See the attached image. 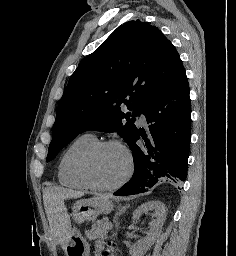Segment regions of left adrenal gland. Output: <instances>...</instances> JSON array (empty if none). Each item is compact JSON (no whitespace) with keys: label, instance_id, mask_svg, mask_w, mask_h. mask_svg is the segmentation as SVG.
I'll list each match as a JSON object with an SVG mask.
<instances>
[{"label":"left adrenal gland","instance_id":"left-adrenal-gland-1","mask_svg":"<svg viewBox=\"0 0 236 256\" xmlns=\"http://www.w3.org/2000/svg\"><path fill=\"white\" fill-rule=\"evenodd\" d=\"M126 208H123V206H121V204H119V212H117V214H115L114 218H113V222L114 224H116V220L118 218V216H121V214H124Z\"/></svg>","mask_w":236,"mask_h":256}]
</instances>
